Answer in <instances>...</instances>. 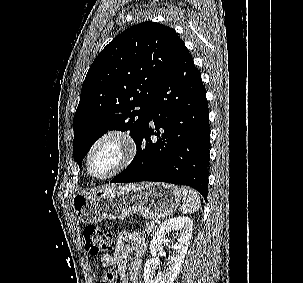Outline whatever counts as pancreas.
Returning a JSON list of instances; mask_svg holds the SVG:
<instances>
[{
    "label": "pancreas",
    "instance_id": "1",
    "mask_svg": "<svg viewBox=\"0 0 303 283\" xmlns=\"http://www.w3.org/2000/svg\"><path fill=\"white\" fill-rule=\"evenodd\" d=\"M152 223H153V221H150V222L146 223V225H145V232L148 235H153L156 230L155 224L153 225Z\"/></svg>",
    "mask_w": 303,
    "mask_h": 283
}]
</instances>
